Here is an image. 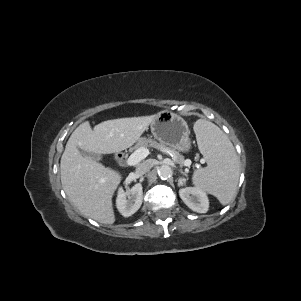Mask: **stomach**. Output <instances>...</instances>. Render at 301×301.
I'll return each mask as SVG.
<instances>
[{
  "label": "stomach",
  "instance_id": "1",
  "mask_svg": "<svg viewBox=\"0 0 301 301\" xmlns=\"http://www.w3.org/2000/svg\"><path fill=\"white\" fill-rule=\"evenodd\" d=\"M155 139L174 150L188 153L192 148L187 122L170 111H161L150 124Z\"/></svg>",
  "mask_w": 301,
  "mask_h": 301
}]
</instances>
